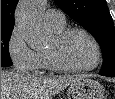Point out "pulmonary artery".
I'll use <instances>...</instances> for the list:
<instances>
[{"label": "pulmonary artery", "mask_w": 115, "mask_h": 99, "mask_svg": "<svg viewBox=\"0 0 115 99\" xmlns=\"http://www.w3.org/2000/svg\"><path fill=\"white\" fill-rule=\"evenodd\" d=\"M45 22L50 27H62L65 24V17L59 10L48 9L44 16Z\"/></svg>", "instance_id": "1"}]
</instances>
